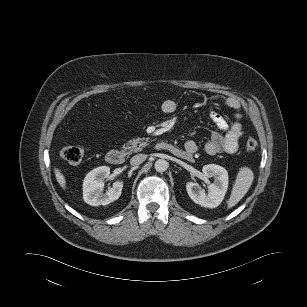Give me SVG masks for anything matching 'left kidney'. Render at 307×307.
<instances>
[{"mask_svg": "<svg viewBox=\"0 0 307 307\" xmlns=\"http://www.w3.org/2000/svg\"><path fill=\"white\" fill-rule=\"evenodd\" d=\"M202 171L205 177L214 178V182L208 186V194L194 182H187V193L196 204L207 208H216L221 204L227 192L228 172L225 168L215 164L203 166Z\"/></svg>", "mask_w": 307, "mask_h": 307, "instance_id": "1", "label": "left kidney"}]
</instances>
